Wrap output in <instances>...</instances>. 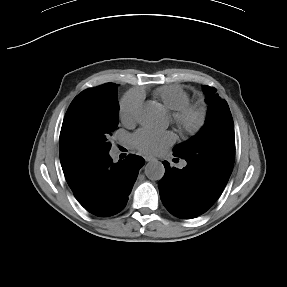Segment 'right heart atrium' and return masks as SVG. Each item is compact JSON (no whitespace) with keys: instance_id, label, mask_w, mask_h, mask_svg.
Here are the masks:
<instances>
[{"instance_id":"d8ad5b80","label":"right heart atrium","mask_w":287,"mask_h":287,"mask_svg":"<svg viewBox=\"0 0 287 287\" xmlns=\"http://www.w3.org/2000/svg\"><path fill=\"white\" fill-rule=\"evenodd\" d=\"M119 114L125 124L135 123L141 114V98L134 93L126 94L119 103Z\"/></svg>"}]
</instances>
